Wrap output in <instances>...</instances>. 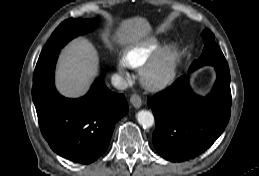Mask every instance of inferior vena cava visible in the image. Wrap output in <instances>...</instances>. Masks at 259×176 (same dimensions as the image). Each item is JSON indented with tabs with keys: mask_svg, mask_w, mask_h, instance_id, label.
Here are the masks:
<instances>
[{
	"mask_svg": "<svg viewBox=\"0 0 259 176\" xmlns=\"http://www.w3.org/2000/svg\"><path fill=\"white\" fill-rule=\"evenodd\" d=\"M112 85L119 90H125L128 87L127 80L120 75H113L111 78Z\"/></svg>",
	"mask_w": 259,
	"mask_h": 176,
	"instance_id": "obj_1",
	"label": "inferior vena cava"
}]
</instances>
